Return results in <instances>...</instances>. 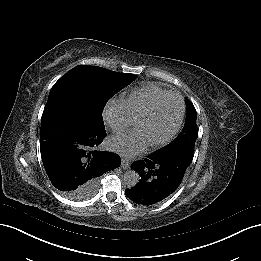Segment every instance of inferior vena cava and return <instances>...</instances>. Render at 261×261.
<instances>
[{
	"label": "inferior vena cava",
	"instance_id": "602c4592",
	"mask_svg": "<svg viewBox=\"0 0 261 261\" xmlns=\"http://www.w3.org/2000/svg\"><path fill=\"white\" fill-rule=\"evenodd\" d=\"M111 129L114 131V132H119L121 130V127L119 124L117 123H111Z\"/></svg>",
	"mask_w": 261,
	"mask_h": 261
}]
</instances>
